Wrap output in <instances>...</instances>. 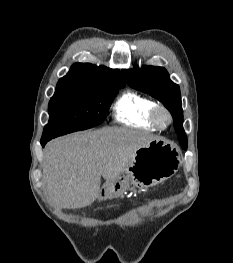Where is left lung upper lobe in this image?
I'll return each instance as SVG.
<instances>
[{
  "mask_svg": "<svg viewBox=\"0 0 233 263\" xmlns=\"http://www.w3.org/2000/svg\"><path fill=\"white\" fill-rule=\"evenodd\" d=\"M125 81L129 86L148 93L157 98L170 111L174 119V127L179 139L186 138L183 129V110L179 86L173 83L163 67L135 66L133 69L122 70Z\"/></svg>",
  "mask_w": 233,
  "mask_h": 263,
  "instance_id": "1",
  "label": "left lung upper lobe"
}]
</instances>
